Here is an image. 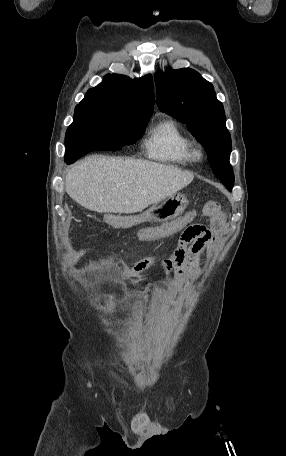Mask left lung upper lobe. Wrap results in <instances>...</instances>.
Listing matches in <instances>:
<instances>
[{
  "instance_id": "5c2ea615",
  "label": "left lung upper lobe",
  "mask_w": 286,
  "mask_h": 456,
  "mask_svg": "<svg viewBox=\"0 0 286 456\" xmlns=\"http://www.w3.org/2000/svg\"><path fill=\"white\" fill-rule=\"evenodd\" d=\"M155 84L159 109L187 125L205 148L215 176L231 191L234 185L229 163L231 137L223 105L216 98L213 85L190 68L158 72Z\"/></svg>"
}]
</instances>
